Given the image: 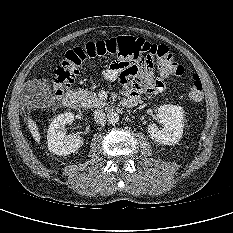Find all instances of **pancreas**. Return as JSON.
<instances>
[{
	"mask_svg": "<svg viewBox=\"0 0 233 233\" xmlns=\"http://www.w3.org/2000/svg\"><path fill=\"white\" fill-rule=\"evenodd\" d=\"M81 100L83 101V104L85 107H101L103 105H105V102H103L100 98L97 97V95L92 92V91H88V90H80L78 92Z\"/></svg>",
	"mask_w": 233,
	"mask_h": 233,
	"instance_id": "cf45deb5",
	"label": "pancreas"
}]
</instances>
